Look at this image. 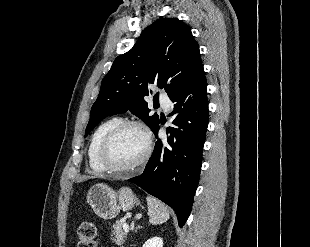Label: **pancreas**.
Wrapping results in <instances>:
<instances>
[{"label": "pancreas", "mask_w": 310, "mask_h": 247, "mask_svg": "<svg viewBox=\"0 0 310 247\" xmlns=\"http://www.w3.org/2000/svg\"><path fill=\"white\" fill-rule=\"evenodd\" d=\"M123 225V222L117 221L113 225V231L111 234V240L119 246H121L125 242V238L127 235V233L123 229Z\"/></svg>", "instance_id": "obj_1"}]
</instances>
